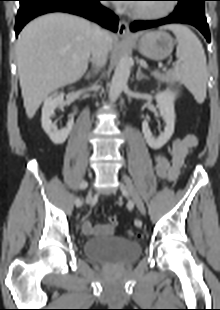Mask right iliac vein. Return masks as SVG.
Here are the masks:
<instances>
[{"label": "right iliac vein", "mask_w": 220, "mask_h": 310, "mask_svg": "<svg viewBox=\"0 0 220 310\" xmlns=\"http://www.w3.org/2000/svg\"><path fill=\"white\" fill-rule=\"evenodd\" d=\"M92 200V190H90L86 195V202L89 203Z\"/></svg>", "instance_id": "1"}]
</instances>
